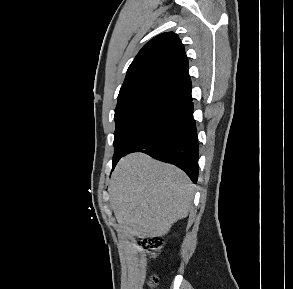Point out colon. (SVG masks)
<instances>
[{
    "instance_id": "5ec220e1",
    "label": "colon",
    "mask_w": 293,
    "mask_h": 289,
    "mask_svg": "<svg viewBox=\"0 0 293 289\" xmlns=\"http://www.w3.org/2000/svg\"><path fill=\"white\" fill-rule=\"evenodd\" d=\"M144 248L152 255H158L163 247V241L159 237H146L142 240ZM158 284L157 276H152L149 281L150 289H154Z\"/></svg>"
}]
</instances>
